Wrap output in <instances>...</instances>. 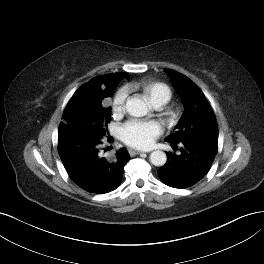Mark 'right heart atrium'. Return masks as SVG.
I'll list each match as a JSON object with an SVG mask.
<instances>
[{
  "label": "right heart atrium",
  "mask_w": 264,
  "mask_h": 264,
  "mask_svg": "<svg viewBox=\"0 0 264 264\" xmlns=\"http://www.w3.org/2000/svg\"><path fill=\"white\" fill-rule=\"evenodd\" d=\"M127 99V90L122 88L116 92L111 101L112 112L114 115H122L125 111V103Z\"/></svg>",
  "instance_id": "right-heart-atrium-1"
}]
</instances>
